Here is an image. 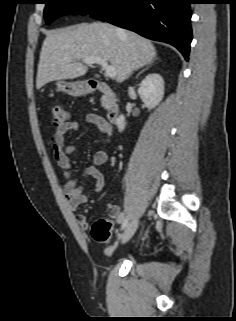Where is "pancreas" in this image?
Wrapping results in <instances>:
<instances>
[{"mask_svg": "<svg viewBox=\"0 0 236 321\" xmlns=\"http://www.w3.org/2000/svg\"><path fill=\"white\" fill-rule=\"evenodd\" d=\"M101 104L105 109L109 108V103H108V101H107V99L105 97H102Z\"/></svg>", "mask_w": 236, "mask_h": 321, "instance_id": "1", "label": "pancreas"}]
</instances>
